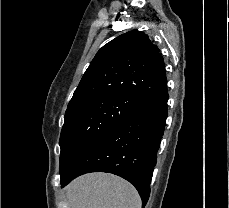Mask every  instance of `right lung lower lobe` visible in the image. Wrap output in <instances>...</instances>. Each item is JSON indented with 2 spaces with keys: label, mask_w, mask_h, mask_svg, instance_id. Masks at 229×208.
Instances as JSON below:
<instances>
[{
  "label": "right lung lower lobe",
  "mask_w": 229,
  "mask_h": 208,
  "mask_svg": "<svg viewBox=\"0 0 229 208\" xmlns=\"http://www.w3.org/2000/svg\"><path fill=\"white\" fill-rule=\"evenodd\" d=\"M167 100L166 89L93 141L61 176V187L85 173H113L135 186L144 208L168 116Z\"/></svg>",
  "instance_id": "98d812e1"
}]
</instances>
